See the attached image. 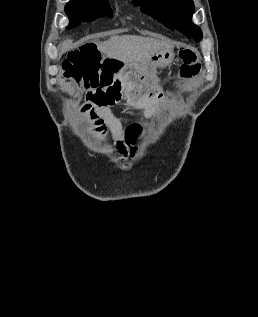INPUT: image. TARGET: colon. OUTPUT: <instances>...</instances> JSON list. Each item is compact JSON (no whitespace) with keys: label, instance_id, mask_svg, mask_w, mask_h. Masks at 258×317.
Returning a JSON list of instances; mask_svg holds the SVG:
<instances>
[{"label":"colon","instance_id":"colon-1","mask_svg":"<svg viewBox=\"0 0 258 317\" xmlns=\"http://www.w3.org/2000/svg\"><path fill=\"white\" fill-rule=\"evenodd\" d=\"M182 60L181 76L189 79L201 70L197 52L183 48L179 52ZM118 59L103 55L96 43L88 42L73 50L63 63L65 77L73 79L79 90L98 87L107 82L120 69Z\"/></svg>","mask_w":258,"mask_h":317}]
</instances>
